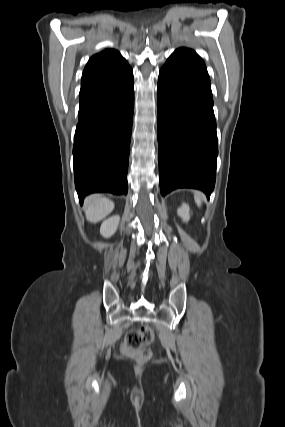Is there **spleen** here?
Returning a JSON list of instances; mask_svg holds the SVG:
<instances>
[{
	"label": "spleen",
	"instance_id": "3e777b00",
	"mask_svg": "<svg viewBox=\"0 0 285 427\" xmlns=\"http://www.w3.org/2000/svg\"><path fill=\"white\" fill-rule=\"evenodd\" d=\"M203 198H204V195L201 192L194 193V199L198 206H201Z\"/></svg>",
	"mask_w": 285,
	"mask_h": 427
}]
</instances>
